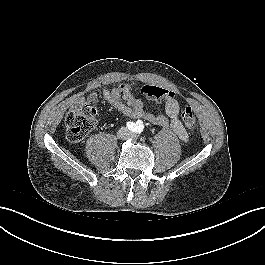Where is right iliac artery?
<instances>
[{
	"label": "right iliac artery",
	"mask_w": 265,
	"mask_h": 265,
	"mask_svg": "<svg viewBox=\"0 0 265 265\" xmlns=\"http://www.w3.org/2000/svg\"><path fill=\"white\" fill-rule=\"evenodd\" d=\"M126 126H127V128L129 129V130H131V131H136V129H137V124L136 123H134V122H127V124H126Z\"/></svg>",
	"instance_id": "82829eb1"
}]
</instances>
